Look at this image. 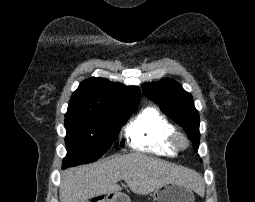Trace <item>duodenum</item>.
Wrapping results in <instances>:
<instances>
[{
  "label": "duodenum",
  "instance_id": "410a0bca",
  "mask_svg": "<svg viewBox=\"0 0 255 202\" xmlns=\"http://www.w3.org/2000/svg\"><path fill=\"white\" fill-rule=\"evenodd\" d=\"M110 201L111 202H124V200H122L118 197H115V196H110Z\"/></svg>",
  "mask_w": 255,
  "mask_h": 202
}]
</instances>
